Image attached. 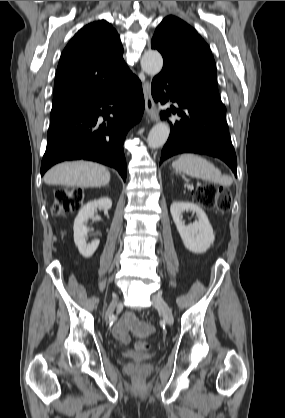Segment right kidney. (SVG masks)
<instances>
[{"label": "right kidney", "mask_w": 285, "mask_h": 418, "mask_svg": "<svg viewBox=\"0 0 285 418\" xmlns=\"http://www.w3.org/2000/svg\"><path fill=\"white\" fill-rule=\"evenodd\" d=\"M112 207V200L108 197L100 198L88 202L84 205L74 220V242L78 247L80 254L85 258H90L99 246V240L96 239L91 243H87V234L89 229L87 222L89 218H92L97 211V208H102L104 211H108Z\"/></svg>", "instance_id": "obj_1"}]
</instances>
